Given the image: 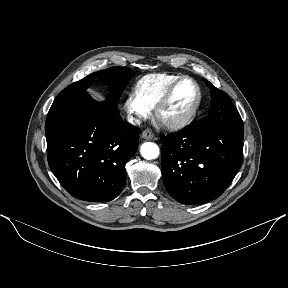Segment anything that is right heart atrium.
<instances>
[{
	"mask_svg": "<svg viewBox=\"0 0 288 288\" xmlns=\"http://www.w3.org/2000/svg\"><path fill=\"white\" fill-rule=\"evenodd\" d=\"M124 109L134 121L146 118L151 113V109L146 106L134 92L127 94L124 100Z\"/></svg>",
	"mask_w": 288,
	"mask_h": 288,
	"instance_id": "right-heart-atrium-1",
	"label": "right heart atrium"
}]
</instances>
